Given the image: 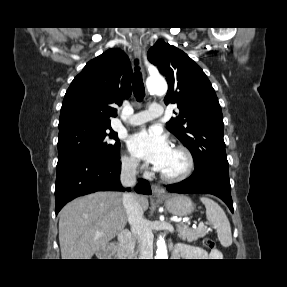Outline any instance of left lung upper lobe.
Masks as SVG:
<instances>
[{
  "label": "left lung upper lobe",
  "instance_id": "1",
  "mask_svg": "<svg viewBox=\"0 0 287 287\" xmlns=\"http://www.w3.org/2000/svg\"><path fill=\"white\" fill-rule=\"evenodd\" d=\"M168 82L166 105L177 104L179 114L166 124L191 152L192 176L228 175L223 140L224 123L216 93L203 70L182 50L158 40L147 54Z\"/></svg>",
  "mask_w": 287,
  "mask_h": 287
}]
</instances>
